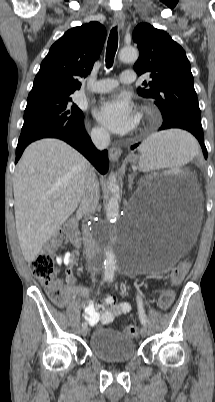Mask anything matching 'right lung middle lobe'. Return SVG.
<instances>
[{"mask_svg": "<svg viewBox=\"0 0 215 402\" xmlns=\"http://www.w3.org/2000/svg\"><path fill=\"white\" fill-rule=\"evenodd\" d=\"M71 101L70 94L28 96L18 145H25L43 134L82 124L83 113Z\"/></svg>", "mask_w": 215, "mask_h": 402, "instance_id": "right-lung-middle-lobe-1", "label": "right lung middle lobe"}]
</instances>
